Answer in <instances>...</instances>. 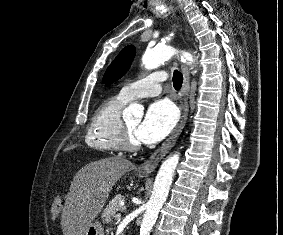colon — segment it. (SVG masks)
I'll use <instances>...</instances> for the list:
<instances>
[{
	"label": "colon",
	"instance_id": "obj_1",
	"mask_svg": "<svg viewBox=\"0 0 283 235\" xmlns=\"http://www.w3.org/2000/svg\"><path fill=\"white\" fill-rule=\"evenodd\" d=\"M62 205H63L62 197L56 196L52 201L51 214L53 216H58L61 211Z\"/></svg>",
	"mask_w": 283,
	"mask_h": 235
}]
</instances>
